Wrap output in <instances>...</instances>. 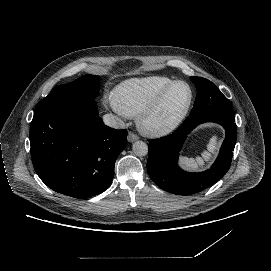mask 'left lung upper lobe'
Wrapping results in <instances>:
<instances>
[{"instance_id":"1","label":"left lung upper lobe","mask_w":271,"mask_h":271,"mask_svg":"<svg viewBox=\"0 0 271 271\" xmlns=\"http://www.w3.org/2000/svg\"><path fill=\"white\" fill-rule=\"evenodd\" d=\"M197 88V96L190 115L201 112L234 113L233 108L211 81L202 77H190Z\"/></svg>"}]
</instances>
